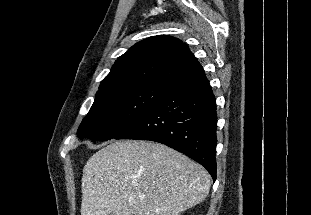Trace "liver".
Here are the masks:
<instances>
[{
    "label": "liver",
    "mask_w": 311,
    "mask_h": 215,
    "mask_svg": "<svg viewBox=\"0 0 311 215\" xmlns=\"http://www.w3.org/2000/svg\"><path fill=\"white\" fill-rule=\"evenodd\" d=\"M208 172L184 154L148 141H115L83 169L81 215H180L202 202Z\"/></svg>",
    "instance_id": "liver-1"
}]
</instances>
